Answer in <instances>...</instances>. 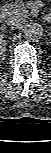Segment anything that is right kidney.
<instances>
[{
    "label": "right kidney",
    "mask_w": 51,
    "mask_h": 153,
    "mask_svg": "<svg viewBox=\"0 0 51 153\" xmlns=\"http://www.w3.org/2000/svg\"><path fill=\"white\" fill-rule=\"evenodd\" d=\"M6 50V47H5V44L4 43H1L0 45V54L3 56L4 52Z\"/></svg>",
    "instance_id": "1"
}]
</instances>
